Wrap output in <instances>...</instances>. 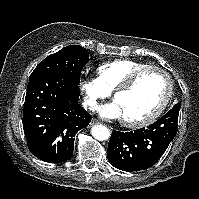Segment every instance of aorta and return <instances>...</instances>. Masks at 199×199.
Masks as SVG:
<instances>
[{"label":"aorta","instance_id":"762f6f07","mask_svg":"<svg viewBox=\"0 0 199 199\" xmlns=\"http://www.w3.org/2000/svg\"><path fill=\"white\" fill-rule=\"evenodd\" d=\"M92 136L99 140L104 141L110 137V131L106 126L103 125H95L91 129Z\"/></svg>","mask_w":199,"mask_h":199}]
</instances>
